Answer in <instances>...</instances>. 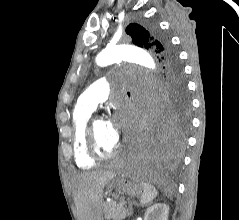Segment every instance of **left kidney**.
<instances>
[{
	"label": "left kidney",
	"mask_w": 239,
	"mask_h": 220,
	"mask_svg": "<svg viewBox=\"0 0 239 220\" xmlns=\"http://www.w3.org/2000/svg\"><path fill=\"white\" fill-rule=\"evenodd\" d=\"M169 206L157 203L147 208L144 220H168Z\"/></svg>",
	"instance_id": "1"
}]
</instances>
